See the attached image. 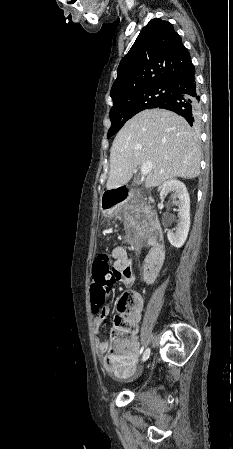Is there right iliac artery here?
<instances>
[{
  "label": "right iliac artery",
  "mask_w": 233,
  "mask_h": 449,
  "mask_svg": "<svg viewBox=\"0 0 233 449\" xmlns=\"http://www.w3.org/2000/svg\"><path fill=\"white\" fill-rule=\"evenodd\" d=\"M143 351V347L141 348V351H140V353ZM149 355H150V349L148 348V349H146V351L144 352V358H145V360L146 359H148V357H149Z\"/></svg>",
  "instance_id": "82829eb1"
}]
</instances>
